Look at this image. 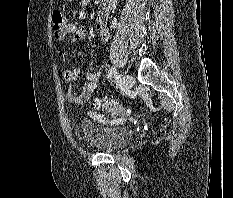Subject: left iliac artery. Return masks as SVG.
Wrapping results in <instances>:
<instances>
[{"label":"left iliac artery","instance_id":"obj_1","mask_svg":"<svg viewBox=\"0 0 233 198\" xmlns=\"http://www.w3.org/2000/svg\"><path fill=\"white\" fill-rule=\"evenodd\" d=\"M117 74H118V71H117L116 66H112L107 72V78H110L113 75H117Z\"/></svg>","mask_w":233,"mask_h":198}]
</instances>
